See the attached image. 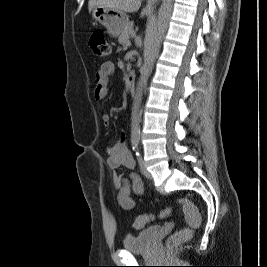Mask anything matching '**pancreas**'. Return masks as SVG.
Wrapping results in <instances>:
<instances>
[{
  "label": "pancreas",
  "instance_id": "cf45deb5",
  "mask_svg": "<svg viewBox=\"0 0 267 267\" xmlns=\"http://www.w3.org/2000/svg\"><path fill=\"white\" fill-rule=\"evenodd\" d=\"M133 33H134L133 22H128L127 25L121 31V34L118 38L119 43L126 44L130 35H132Z\"/></svg>",
  "mask_w": 267,
  "mask_h": 267
}]
</instances>
